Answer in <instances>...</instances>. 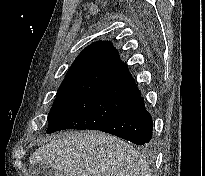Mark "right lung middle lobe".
I'll list each match as a JSON object with an SVG mask.
<instances>
[{
	"instance_id": "1",
	"label": "right lung middle lobe",
	"mask_w": 205,
	"mask_h": 176,
	"mask_svg": "<svg viewBox=\"0 0 205 176\" xmlns=\"http://www.w3.org/2000/svg\"><path fill=\"white\" fill-rule=\"evenodd\" d=\"M129 101L98 92L57 96L48 115L47 133L65 129L100 130L112 122Z\"/></svg>"
}]
</instances>
